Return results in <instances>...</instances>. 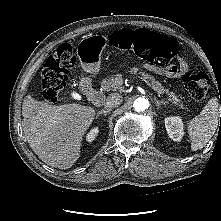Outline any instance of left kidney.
Instances as JSON below:
<instances>
[{
	"label": "left kidney",
	"instance_id": "obj_1",
	"mask_svg": "<svg viewBox=\"0 0 221 221\" xmlns=\"http://www.w3.org/2000/svg\"><path fill=\"white\" fill-rule=\"evenodd\" d=\"M165 127L173 141H181L184 131L182 119L178 116L165 118Z\"/></svg>",
	"mask_w": 221,
	"mask_h": 221
}]
</instances>
